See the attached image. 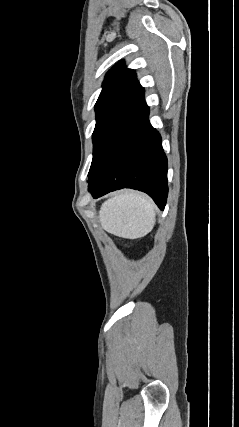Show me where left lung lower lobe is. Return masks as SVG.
Segmentation results:
<instances>
[{
    "label": "left lung lower lobe",
    "instance_id": "obj_1",
    "mask_svg": "<svg viewBox=\"0 0 239 427\" xmlns=\"http://www.w3.org/2000/svg\"><path fill=\"white\" fill-rule=\"evenodd\" d=\"M146 105L109 141L89 175L94 198L133 188L150 195L161 210L167 194V158L161 136L148 120Z\"/></svg>",
    "mask_w": 239,
    "mask_h": 427
}]
</instances>
